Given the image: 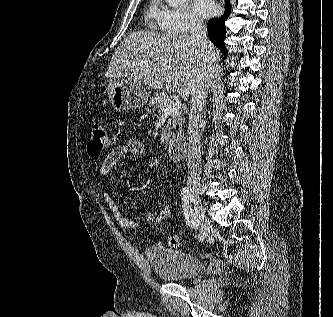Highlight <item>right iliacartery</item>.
<instances>
[{
	"label": "right iliac artery",
	"mask_w": 333,
	"mask_h": 317,
	"mask_svg": "<svg viewBox=\"0 0 333 317\" xmlns=\"http://www.w3.org/2000/svg\"><path fill=\"white\" fill-rule=\"evenodd\" d=\"M181 198H182V202H183L184 216H185L188 226H190L191 228L198 229L199 223H198L197 215L191 207L190 191L187 187L182 188ZM204 238H205V236L200 232L198 234V239L200 241H203Z\"/></svg>",
	"instance_id": "obj_1"
}]
</instances>
